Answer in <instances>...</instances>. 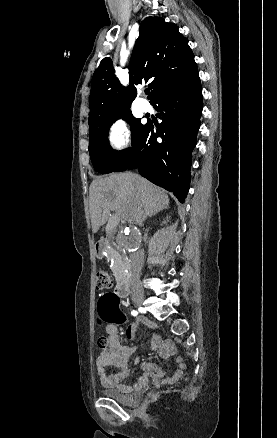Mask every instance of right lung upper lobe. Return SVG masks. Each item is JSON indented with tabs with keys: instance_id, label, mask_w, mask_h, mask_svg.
<instances>
[{
	"instance_id": "right-lung-upper-lobe-1",
	"label": "right lung upper lobe",
	"mask_w": 277,
	"mask_h": 438,
	"mask_svg": "<svg viewBox=\"0 0 277 438\" xmlns=\"http://www.w3.org/2000/svg\"><path fill=\"white\" fill-rule=\"evenodd\" d=\"M139 33L129 64L128 87L119 83L110 58H104L94 72L89 125L132 114L129 108L137 96L135 85L148 82L151 101L160 89L197 70L188 39L179 33L174 23L160 17H147L141 23ZM171 65L173 67L169 68Z\"/></svg>"
}]
</instances>
